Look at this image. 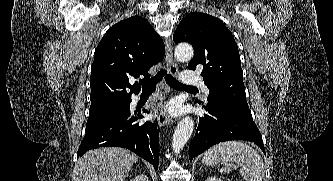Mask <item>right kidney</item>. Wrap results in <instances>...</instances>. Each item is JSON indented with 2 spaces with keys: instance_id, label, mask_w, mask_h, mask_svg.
Wrapping results in <instances>:
<instances>
[{
  "instance_id": "1",
  "label": "right kidney",
  "mask_w": 333,
  "mask_h": 181,
  "mask_svg": "<svg viewBox=\"0 0 333 181\" xmlns=\"http://www.w3.org/2000/svg\"><path fill=\"white\" fill-rule=\"evenodd\" d=\"M131 181H149L148 177L144 174H140L138 176H136L133 180Z\"/></svg>"
}]
</instances>
